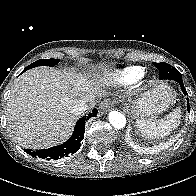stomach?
Returning <instances> with one entry per match:
<instances>
[{
    "instance_id": "0dacf381",
    "label": "stomach",
    "mask_w": 196,
    "mask_h": 196,
    "mask_svg": "<svg viewBox=\"0 0 196 196\" xmlns=\"http://www.w3.org/2000/svg\"><path fill=\"white\" fill-rule=\"evenodd\" d=\"M173 98V91L168 84L154 82L139 98L129 102L134 115L143 118L166 111Z\"/></svg>"
}]
</instances>
